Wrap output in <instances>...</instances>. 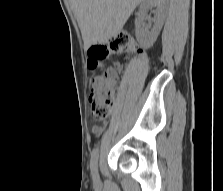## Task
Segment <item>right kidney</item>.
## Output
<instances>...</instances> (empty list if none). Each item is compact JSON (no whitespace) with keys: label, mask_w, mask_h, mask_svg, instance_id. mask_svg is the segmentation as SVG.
Here are the masks:
<instances>
[{"label":"right kidney","mask_w":223,"mask_h":191,"mask_svg":"<svg viewBox=\"0 0 223 191\" xmlns=\"http://www.w3.org/2000/svg\"><path fill=\"white\" fill-rule=\"evenodd\" d=\"M166 5V0H144L140 5V12L142 16L136 19V37L144 48L151 47L156 41L164 24ZM151 7H156L157 13L155 16L154 30L148 31V29L143 25L142 21L144 14Z\"/></svg>","instance_id":"1"}]
</instances>
